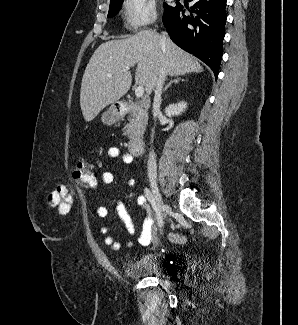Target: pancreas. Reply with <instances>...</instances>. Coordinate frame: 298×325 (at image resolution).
I'll return each instance as SVG.
<instances>
[{
	"label": "pancreas",
	"instance_id": "1",
	"mask_svg": "<svg viewBox=\"0 0 298 325\" xmlns=\"http://www.w3.org/2000/svg\"><path fill=\"white\" fill-rule=\"evenodd\" d=\"M131 106H136V108H132V112L129 114L128 122L125 126L127 128L125 134H127L128 138H134L136 132L139 134H143L145 130V124H147L148 120V112L144 110V108H139L138 102H132Z\"/></svg>",
	"mask_w": 298,
	"mask_h": 325
}]
</instances>
